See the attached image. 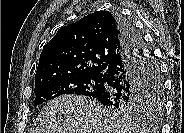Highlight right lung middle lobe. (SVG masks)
Here are the masks:
<instances>
[{
    "label": "right lung middle lobe",
    "instance_id": "1",
    "mask_svg": "<svg viewBox=\"0 0 184 133\" xmlns=\"http://www.w3.org/2000/svg\"><path fill=\"white\" fill-rule=\"evenodd\" d=\"M138 34L141 35L140 33ZM147 56L149 59L150 85L145 92L143 100L124 101L111 106L110 108L112 110L128 115L144 111L151 112L156 116L161 115L164 100L162 79L160 77L158 65L152 53L147 52ZM103 89V75H87L56 79L34 89V93L36 95L34 105H39L46 100L63 94H78L95 97L101 94Z\"/></svg>",
    "mask_w": 184,
    "mask_h": 133
}]
</instances>
